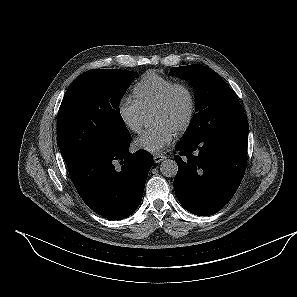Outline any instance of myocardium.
<instances>
[{"instance_id":"obj_1","label":"myocardium","mask_w":297,"mask_h":297,"mask_svg":"<svg viewBox=\"0 0 297 297\" xmlns=\"http://www.w3.org/2000/svg\"><path fill=\"white\" fill-rule=\"evenodd\" d=\"M177 91H183L187 98L188 108L186 115L178 125L176 131L183 133L191 126L197 110L196 98L191 87L183 82L173 83L162 95L159 101L154 105L153 109H166L171 105L173 97Z\"/></svg>"}]
</instances>
